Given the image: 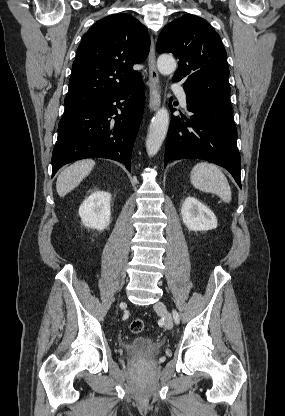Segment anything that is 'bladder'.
Segmentation results:
<instances>
[{
    "label": "bladder",
    "instance_id": "31cf9c89",
    "mask_svg": "<svg viewBox=\"0 0 285 416\" xmlns=\"http://www.w3.org/2000/svg\"><path fill=\"white\" fill-rule=\"evenodd\" d=\"M162 346V342L150 336L139 335L126 340L124 350L129 356L148 355L155 357L161 352Z\"/></svg>",
    "mask_w": 285,
    "mask_h": 416
}]
</instances>
